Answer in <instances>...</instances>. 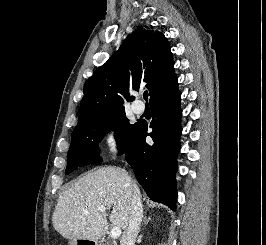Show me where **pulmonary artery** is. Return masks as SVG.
<instances>
[{"mask_svg": "<svg viewBox=\"0 0 266 245\" xmlns=\"http://www.w3.org/2000/svg\"><path fill=\"white\" fill-rule=\"evenodd\" d=\"M132 109L134 111V113L136 114H142L144 112V109H145V105L140 102V101H135L132 105Z\"/></svg>", "mask_w": 266, "mask_h": 245, "instance_id": "obj_1", "label": "pulmonary artery"}]
</instances>
